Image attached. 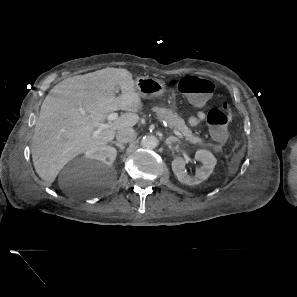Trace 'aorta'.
<instances>
[{
	"label": "aorta",
	"instance_id": "1",
	"mask_svg": "<svg viewBox=\"0 0 297 297\" xmlns=\"http://www.w3.org/2000/svg\"><path fill=\"white\" fill-rule=\"evenodd\" d=\"M158 143V139L153 135L144 136L141 140V146L145 149H154Z\"/></svg>",
	"mask_w": 297,
	"mask_h": 297
}]
</instances>
